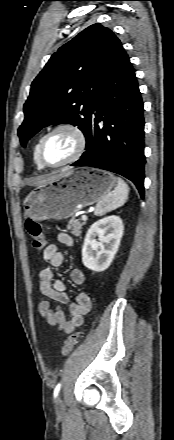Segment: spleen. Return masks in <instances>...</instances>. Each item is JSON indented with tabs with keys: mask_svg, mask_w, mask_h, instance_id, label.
Here are the masks:
<instances>
[{
	"mask_svg": "<svg viewBox=\"0 0 174 440\" xmlns=\"http://www.w3.org/2000/svg\"><path fill=\"white\" fill-rule=\"evenodd\" d=\"M129 195V187L121 178H117V186L112 192H109L100 199L95 207L94 214L102 216L106 213L117 209L125 204Z\"/></svg>",
	"mask_w": 174,
	"mask_h": 440,
	"instance_id": "3e777b00",
	"label": "spleen"
}]
</instances>
